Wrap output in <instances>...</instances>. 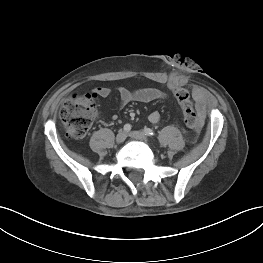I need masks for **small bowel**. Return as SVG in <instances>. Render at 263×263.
I'll list each match as a JSON object with an SVG mask.
<instances>
[{"instance_id": "small-bowel-1", "label": "small bowel", "mask_w": 263, "mask_h": 263, "mask_svg": "<svg viewBox=\"0 0 263 263\" xmlns=\"http://www.w3.org/2000/svg\"><path fill=\"white\" fill-rule=\"evenodd\" d=\"M174 87L176 86L174 85L170 86L172 92ZM110 93H111V89L107 87H97L94 90V94L96 96L103 98L109 96ZM118 94L122 105H126L133 101L147 103L154 100H160L166 98V94L163 91L154 87H142L136 90H130L126 87H119ZM193 98L196 103V108L199 112V118L201 119V125L199 126L198 132L192 138V143H197L198 140H200V137H202V135L204 134V130L206 127V118H205L206 98L204 93L199 89L194 90ZM148 119L151 123L157 124L161 119V115L159 112L154 111L149 115Z\"/></svg>"}]
</instances>
